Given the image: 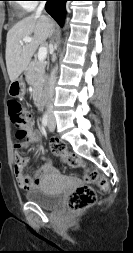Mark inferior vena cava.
Wrapping results in <instances>:
<instances>
[{
	"label": "inferior vena cava",
	"instance_id": "obj_1",
	"mask_svg": "<svg viewBox=\"0 0 133 253\" xmlns=\"http://www.w3.org/2000/svg\"><path fill=\"white\" fill-rule=\"evenodd\" d=\"M45 6V1H41L37 10L36 14L40 15L44 9ZM56 73H57V68H53L51 73H50V78H49V83L47 87V97H48V104H47V115L48 118L51 120H54V114H53V106H52V101H53V96H54V85L56 82Z\"/></svg>",
	"mask_w": 133,
	"mask_h": 253
}]
</instances>
